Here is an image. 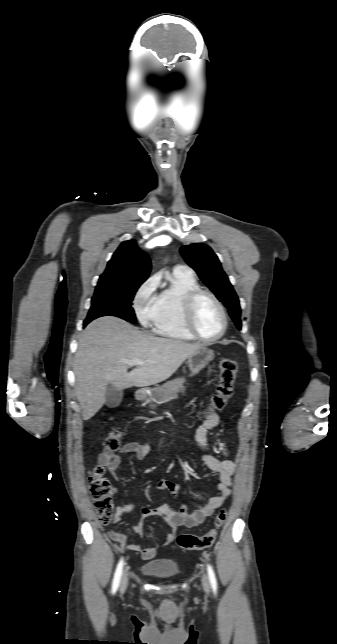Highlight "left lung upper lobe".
<instances>
[{"instance_id":"obj_1","label":"left lung upper lobe","mask_w":337,"mask_h":644,"mask_svg":"<svg viewBox=\"0 0 337 644\" xmlns=\"http://www.w3.org/2000/svg\"><path fill=\"white\" fill-rule=\"evenodd\" d=\"M180 253L188 265L197 272L200 279L228 308L235 325L241 329L239 299L213 250L207 245L195 243L182 246Z\"/></svg>"}]
</instances>
